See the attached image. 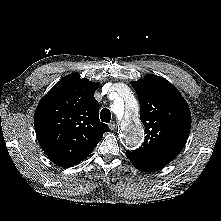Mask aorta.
<instances>
[{"mask_svg": "<svg viewBox=\"0 0 221 221\" xmlns=\"http://www.w3.org/2000/svg\"><path fill=\"white\" fill-rule=\"evenodd\" d=\"M133 92L125 88L124 95L127 105V111L124 115V103L116 101L114 104V112L121 119V135L125 145L128 148H137L143 141L144 130L136 115V99Z\"/></svg>", "mask_w": 221, "mask_h": 221, "instance_id": "1", "label": "aorta"}]
</instances>
